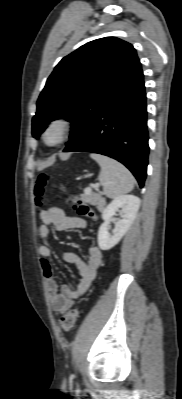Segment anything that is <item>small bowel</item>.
Returning a JSON list of instances; mask_svg holds the SVG:
<instances>
[{
    "mask_svg": "<svg viewBox=\"0 0 182 399\" xmlns=\"http://www.w3.org/2000/svg\"><path fill=\"white\" fill-rule=\"evenodd\" d=\"M41 224L37 229L39 239H48L51 236L50 226L58 231L80 229L86 226V221L80 217L68 216L64 210L57 206H51L39 215ZM40 265L44 276L47 297L55 313L60 314L67 311L80 295L85 293L91 285L96 272L102 261V253L97 245H90L87 258L82 260L76 254L66 252L63 259L76 265L78 284L72 288L67 284L58 285L53 265L50 262L52 250L48 245H41L38 249Z\"/></svg>",
    "mask_w": 182,
    "mask_h": 399,
    "instance_id": "1",
    "label": "small bowel"
}]
</instances>
